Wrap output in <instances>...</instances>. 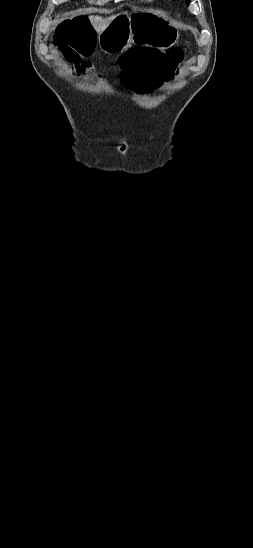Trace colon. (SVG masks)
Here are the masks:
<instances>
[{"mask_svg":"<svg viewBox=\"0 0 253 548\" xmlns=\"http://www.w3.org/2000/svg\"><path fill=\"white\" fill-rule=\"evenodd\" d=\"M95 34L89 21L81 16L61 22L57 28L55 45L65 59L72 64L76 73L86 74L93 71L92 64L82 61L85 55L94 47ZM183 53L180 49H146L134 47L129 49L120 59L124 69L121 75L122 88H133L135 95L160 96L163 88L160 83H170L171 74H179Z\"/></svg>","mask_w":253,"mask_h":548,"instance_id":"colon-1","label":"colon"}]
</instances>
